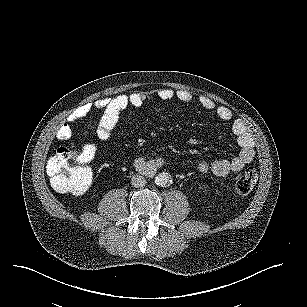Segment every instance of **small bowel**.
I'll use <instances>...</instances> for the list:
<instances>
[{"instance_id": "small-bowel-1", "label": "small bowel", "mask_w": 307, "mask_h": 307, "mask_svg": "<svg viewBox=\"0 0 307 307\" xmlns=\"http://www.w3.org/2000/svg\"><path fill=\"white\" fill-rule=\"evenodd\" d=\"M156 95L161 100L178 99L183 103H190L192 95L185 90L174 91L172 89H160ZM152 97L150 93L135 92L129 95H119L114 98H103L94 102L85 103L77 107L67 118V121L61 125L57 132V138L60 141H68L72 138L74 127L83 120L93 109L102 111V116L97 126V136L101 140H107L119 120L121 112L128 106L140 107ZM200 106L206 110L213 111L218 118L223 121H231V129L237 139L240 147L239 153L231 159H217L212 163H200L197 168L201 173H212L216 176H225L230 172H239L247 164L252 162L255 156L254 141L248 132L245 124L239 119H233L232 111L222 105H217L212 99L201 96L198 98ZM190 144H197L195 138H189ZM97 152L95 144H87L82 149L84 160L90 164ZM137 167L145 168L147 165L151 169L161 164L160 160L146 163L144 160L137 161Z\"/></svg>"}]
</instances>
